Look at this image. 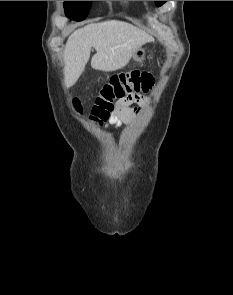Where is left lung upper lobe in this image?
Instances as JSON below:
<instances>
[{
  "label": "left lung upper lobe",
  "instance_id": "left-lung-upper-lobe-1",
  "mask_svg": "<svg viewBox=\"0 0 233 295\" xmlns=\"http://www.w3.org/2000/svg\"><path fill=\"white\" fill-rule=\"evenodd\" d=\"M165 2H166V1H155V4H156L157 6H161V5H163Z\"/></svg>",
  "mask_w": 233,
  "mask_h": 295
}]
</instances>
